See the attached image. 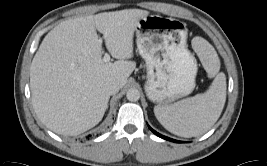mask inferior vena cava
I'll return each instance as SVG.
<instances>
[{"mask_svg":"<svg viewBox=\"0 0 267 166\" xmlns=\"http://www.w3.org/2000/svg\"><path fill=\"white\" fill-rule=\"evenodd\" d=\"M120 85L116 81H108L105 85V90L109 95H114L120 90Z\"/></svg>","mask_w":267,"mask_h":166,"instance_id":"inferior-vena-cava-1","label":"inferior vena cava"}]
</instances>
